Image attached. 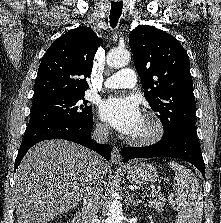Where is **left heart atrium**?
<instances>
[{"mask_svg":"<svg viewBox=\"0 0 221 223\" xmlns=\"http://www.w3.org/2000/svg\"><path fill=\"white\" fill-rule=\"evenodd\" d=\"M100 117L125 135H132L143 118L138 102L132 96H114L99 107Z\"/></svg>","mask_w":221,"mask_h":223,"instance_id":"39dd6f15","label":"left heart atrium"}]
</instances>
